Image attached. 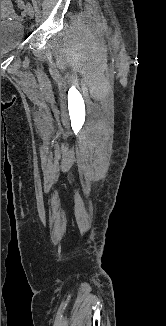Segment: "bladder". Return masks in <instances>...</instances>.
<instances>
[{"instance_id":"obj_1","label":"bladder","mask_w":166,"mask_h":326,"mask_svg":"<svg viewBox=\"0 0 166 326\" xmlns=\"http://www.w3.org/2000/svg\"><path fill=\"white\" fill-rule=\"evenodd\" d=\"M2 1L3 0H1V4ZM5 8L11 9V6L5 5ZM23 38L24 28L17 19H1V55L15 50L22 43Z\"/></svg>"}]
</instances>
